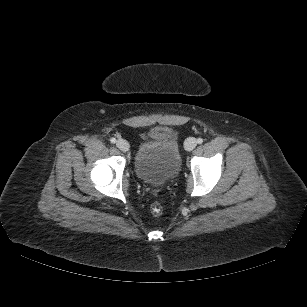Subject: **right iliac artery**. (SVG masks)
I'll list each match as a JSON object with an SVG mask.
<instances>
[{
    "instance_id": "1",
    "label": "right iliac artery",
    "mask_w": 307,
    "mask_h": 307,
    "mask_svg": "<svg viewBox=\"0 0 307 307\" xmlns=\"http://www.w3.org/2000/svg\"><path fill=\"white\" fill-rule=\"evenodd\" d=\"M111 143L115 144L117 142V140L115 138H111L110 139Z\"/></svg>"
}]
</instances>
